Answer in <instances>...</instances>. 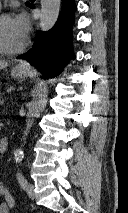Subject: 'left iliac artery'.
I'll list each match as a JSON object with an SVG mask.
<instances>
[{
  "instance_id": "1",
  "label": "left iliac artery",
  "mask_w": 128,
  "mask_h": 213,
  "mask_svg": "<svg viewBox=\"0 0 128 213\" xmlns=\"http://www.w3.org/2000/svg\"><path fill=\"white\" fill-rule=\"evenodd\" d=\"M17 179L20 186L25 190L28 185L27 179L20 172H17Z\"/></svg>"
}]
</instances>
